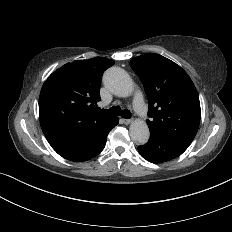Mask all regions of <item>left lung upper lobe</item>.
Segmentation results:
<instances>
[{"instance_id": "obj_1", "label": "left lung upper lobe", "mask_w": 232, "mask_h": 232, "mask_svg": "<svg viewBox=\"0 0 232 232\" xmlns=\"http://www.w3.org/2000/svg\"><path fill=\"white\" fill-rule=\"evenodd\" d=\"M148 98L150 133L188 147L200 123V102L187 73L173 61L146 54L131 59Z\"/></svg>"}]
</instances>
